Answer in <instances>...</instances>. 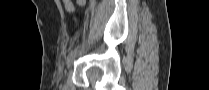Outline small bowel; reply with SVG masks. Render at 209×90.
<instances>
[{
	"instance_id": "c3829d8e",
	"label": "small bowel",
	"mask_w": 209,
	"mask_h": 90,
	"mask_svg": "<svg viewBox=\"0 0 209 90\" xmlns=\"http://www.w3.org/2000/svg\"><path fill=\"white\" fill-rule=\"evenodd\" d=\"M63 3H64L65 9L69 13H75V7H74V4L72 3V1L64 0ZM78 3L81 4V5H84L86 3V1L79 0Z\"/></svg>"
}]
</instances>
